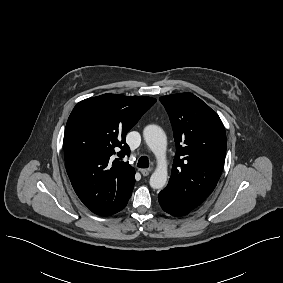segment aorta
Returning a JSON list of instances; mask_svg holds the SVG:
<instances>
[{
  "mask_svg": "<svg viewBox=\"0 0 283 283\" xmlns=\"http://www.w3.org/2000/svg\"><path fill=\"white\" fill-rule=\"evenodd\" d=\"M143 136L158 161L157 168L150 177V186L153 189H161L166 185L168 176L165 162L167 148L165 132L157 125H148L144 128Z\"/></svg>",
  "mask_w": 283,
  "mask_h": 283,
  "instance_id": "aorta-1",
  "label": "aorta"
}]
</instances>
